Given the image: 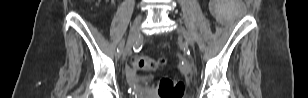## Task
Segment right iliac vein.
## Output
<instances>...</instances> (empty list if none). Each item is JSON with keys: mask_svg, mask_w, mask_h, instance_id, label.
Returning a JSON list of instances; mask_svg holds the SVG:
<instances>
[{"mask_svg": "<svg viewBox=\"0 0 308 98\" xmlns=\"http://www.w3.org/2000/svg\"><path fill=\"white\" fill-rule=\"evenodd\" d=\"M141 20H142V15H138L136 17L135 21H134V25L132 27V30H131L127 45L125 47V50L119 54L120 56H122L123 59L130 52L132 46L135 43V40L137 39V37L139 35V25L141 23Z\"/></svg>", "mask_w": 308, "mask_h": 98, "instance_id": "obj_1", "label": "right iliac vein"}]
</instances>
